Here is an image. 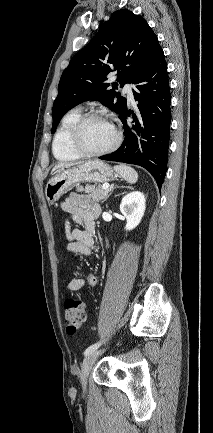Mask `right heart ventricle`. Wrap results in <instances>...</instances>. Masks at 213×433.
<instances>
[{
	"label": "right heart ventricle",
	"mask_w": 213,
	"mask_h": 433,
	"mask_svg": "<svg viewBox=\"0 0 213 433\" xmlns=\"http://www.w3.org/2000/svg\"><path fill=\"white\" fill-rule=\"evenodd\" d=\"M79 109L68 112L62 119L53 141V153L59 161H73L81 158L71 147L70 135L74 124L81 116Z\"/></svg>",
	"instance_id": "e07e8e85"
}]
</instances>
